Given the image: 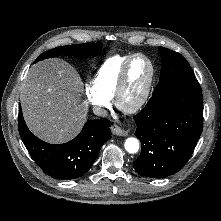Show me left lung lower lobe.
<instances>
[{
	"mask_svg": "<svg viewBox=\"0 0 221 221\" xmlns=\"http://www.w3.org/2000/svg\"><path fill=\"white\" fill-rule=\"evenodd\" d=\"M134 120L141 141L140 156L133 162L137 173L151 178L175 174L191 157L202 133L203 99L197 79L153 94Z\"/></svg>",
	"mask_w": 221,
	"mask_h": 221,
	"instance_id": "0a47b994",
	"label": "left lung lower lobe"
}]
</instances>
